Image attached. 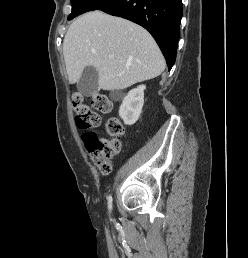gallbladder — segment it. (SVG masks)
<instances>
[{
    "label": "gallbladder",
    "instance_id": "obj_1",
    "mask_svg": "<svg viewBox=\"0 0 248 258\" xmlns=\"http://www.w3.org/2000/svg\"><path fill=\"white\" fill-rule=\"evenodd\" d=\"M77 87L84 96L93 95L98 90V71L93 66L85 67Z\"/></svg>",
    "mask_w": 248,
    "mask_h": 258
}]
</instances>
